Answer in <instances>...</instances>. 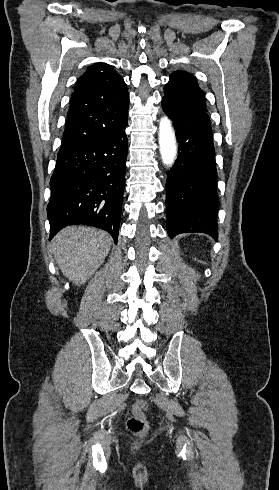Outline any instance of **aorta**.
<instances>
[{"instance_id": "aorta-1", "label": "aorta", "mask_w": 279, "mask_h": 490, "mask_svg": "<svg viewBox=\"0 0 279 490\" xmlns=\"http://www.w3.org/2000/svg\"><path fill=\"white\" fill-rule=\"evenodd\" d=\"M158 140L163 164L172 166L177 155V143L172 122L167 116L160 120Z\"/></svg>"}]
</instances>
